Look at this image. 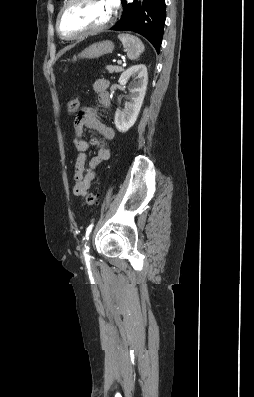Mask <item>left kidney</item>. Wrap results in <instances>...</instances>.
I'll return each instance as SVG.
<instances>
[{
  "instance_id": "obj_1",
  "label": "left kidney",
  "mask_w": 254,
  "mask_h": 397,
  "mask_svg": "<svg viewBox=\"0 0 254 397\" xmlns=\"http://www.w3.org/2000/svg\"><path fill=\"white\" fill-rule=\"evenodd\" d=\"M130 76L135 81L130 90L129 102L125 104L124 109H117L115 113L114 122L119 132H127L135 124L147 89L148 73L144 64L134 65L124 71L118 80L119 84L125 85Z\"/></svg>"
}]
</instances>
